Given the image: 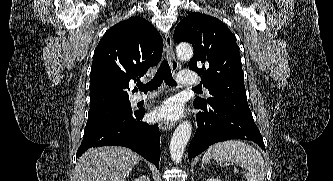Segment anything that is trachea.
<instances>
[{"mask_svg":"<svg viewBox=\"0 0 333 181\" xmlns=\"http://www.w3.org/2000/svg\"><path fill=\"white\" fill-rule=\"evenodd\" d=\"M163 80L169 86H176L177 85L176 82L174 81L173 77H172L170 66H169V64L166 60L162 61L159 69L157 70L155 76L153 77V79L151 81H149L145 85L140 83V84L137 85V87L141 91L147 92V91H150V90L157 89L162 84ZM193 89L199 90V88H197V87H195Z\"/></svg>","mask_w":333,"mask_h":181,"instance_id":"3493384b","label":"trachea"}]
</instances>
